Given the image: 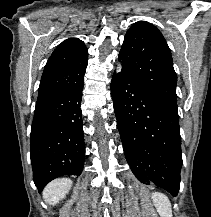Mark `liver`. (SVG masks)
I'll return each instance as SVG.
<instances>
[{"mask_svg": "<svg viewBox=\"0 0 211 217\" xmlns=\"http://www.w3.org/2000/svg\"><path fill=\"white\" fill-rule=\"evenodd\" d=\"M72 186V181L67 178L56 179L49 183L43 190V198L49 205L58 204Z\"/></svg>", "mask_w": 211, "mask_h": 217, "instance_id": "liver-1", "label": "liver"}]
</instances>
